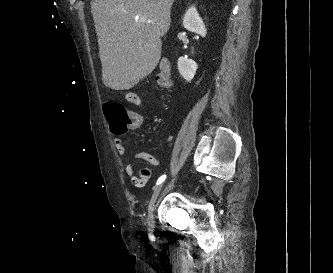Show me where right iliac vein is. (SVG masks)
Masks as SVG:
<instances>
[{"label":"right iliac vein","instance_id":"1","mask_svg":"<svg viewBox=\"0 0 333 273\" xmlns=\"http://www.w3.org/2000/svg\"><path fill=\"white\" fill-rule=\"evenodd\" d=\"M163 188V184L157 186L152 194V197L150 199V202H149V206H148V215H147V224H148V227H149V230L150 231H153L154 230V209H155V204H156V201L158 199V196L161 192Z\"/></svg>","mask_w":333,"mask_h":273}]
</instances>
